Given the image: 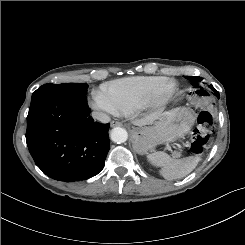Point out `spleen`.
<instances>
[{"label":"spleen","mask_w":245,"mask_h":245,"mask_svg":"<svg viewBox=\"0 0 245 245\" xmlns=\"http://www.w3.org/2000/svg\"><path fill=\"white\" fill-rule=\"evenodd\" d=\"M147 158L152 164L161 168L160 174L167 180L185 177L196 168L201 160L200 155L176 160L163 151L149 154Z\"/></svg>","instance_id":"spleen-1"}]
</instances>
